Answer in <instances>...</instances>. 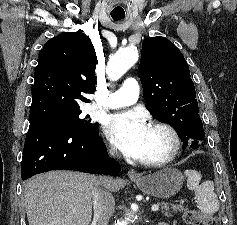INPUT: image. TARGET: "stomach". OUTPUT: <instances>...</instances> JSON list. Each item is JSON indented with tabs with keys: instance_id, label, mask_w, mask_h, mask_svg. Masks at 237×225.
Here are the masks:
<instances>
[{
	"instance_id": "1",
	"label": "stomach",
	"mask_w": 237,
	"mask_h": 225,
	"mask_svg": "<svg viewBox=\"0 0 237 225\" xmlns=\"http://www.w3.org/2000/svg\"><path fill=\"white\" fill-rule=\"evenodd\" d=\"M141 191L157 198H170L183 186L184 176L175 168H164L153 174L132 179Z\"/></svg>"
}]
</instances>
